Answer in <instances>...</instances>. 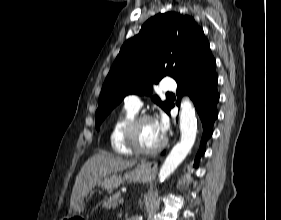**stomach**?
<instances>
[{
  "instance_id": "1",
  "label": "stomach",
  "mask_w": 281,
  "mask_h": 220,
  "mask_svg": "<svg viewBox=\"0 0 281 220\" xmlns=\"http://www.w3.org/2000/svg\"><path fill=\"white\" fill-rule=\"evenodd\" d=\"M154 175V169L150 163H142L137 165L134 169H131L121 174H109L103 177L98 186H101L103 189L112 190L121 185L125 180L129 182H148L152 179ZM85 204L83 201L74 209L73 213H70L66 219L67 220H81V212L84 211Z\"/></svg>"
}]
</instances>
